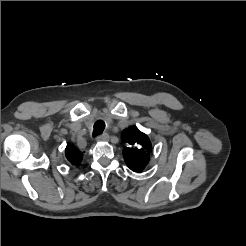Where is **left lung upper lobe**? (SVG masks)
I'll return each instance as SVG.
<instances>
[{"instance_id": "left-lung-upper-lobe-1", "label": "left lung upper lobe", "mask_w": 246, "mask_h": 246, "mask_svg": "<svg viewBox=\"0 0 246 246\" xmlns=\"http://www.w3.org/2000/svg\"><path fill=\"white\" fill-rule=\"evenodd\" d=\"M122 141L126 144L123 156L127 166L135 171H142L150 158L151 142L148 136L136 127H129L122 132Z\"/></svg>"}]
</instances>
